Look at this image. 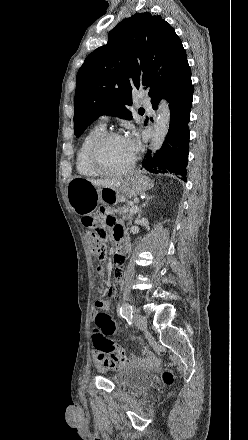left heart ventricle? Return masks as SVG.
I'll list each match as a JSON object with an SVG mask.
<instances>
[{"label":"left heart ventricle","instance_id":"obj_1","mask_svg":"<svg viewBox=\"0 0 248 440\" xmlns=\"http://www.w3.org/2000/svg\"><path fill=\"white\" fill-rule=\"evenodd\" d=\"M133 155L125 137H115L109 139L103 146L100 163L107 170L118 171L130 164Z\"/></svg>","mask_w":248,"mask_h":440}]
</instances>
